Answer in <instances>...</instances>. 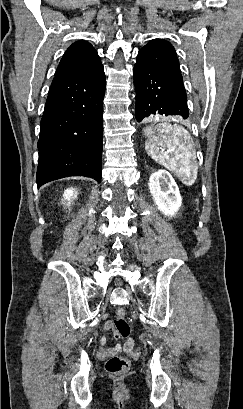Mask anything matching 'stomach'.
I'll return each mask as SVG.
<instances>
[{
  "label": "stomach",
  "instance_id": "1",
  "mask_svg": "<svg viewBox=\"0 0 243 409\" xmlns=\"http://www.w3.org/2000/svg\"><path fill=\"white\" fill-rule=\"evenodd\" d=\"M143 133L146 137L151 138L152 136L156 135L157 129L154 125L147 126L144 130Z\"/></svg>",
  "mask_w": 243,
  "mask_h": 409
}]
</instances>
